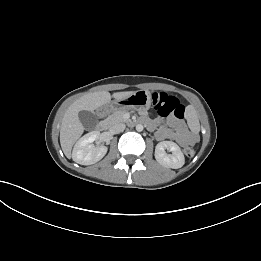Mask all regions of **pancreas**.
I'll return each mask as SVG.
<instances>
[{
  "label": "pancreas",
  "instance_id": "pancreas-1",
  "mask_svg": "<svg viewBox=\"0 0 261 261\" xmlns=\"http://www.w3.org/2000/svg\"><path fill=\"white\" fill-rule=\"evenodd\" d=\"M127 113L126 110H118L113 112L111 115H109L106 119L105 122L107 123L108 126H111L113 124L119 123V122H127L128 119L124 117V115Z\"/></svg>",
  "mask_w": 261,
  "mask_h": 261
}]
</instances>
